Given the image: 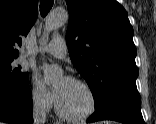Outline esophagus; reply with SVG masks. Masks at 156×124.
<instances>
[{"label":"esophagus","instance_id":"34e87169","mask_svg":"<svg viewBox=\"0 0 156 124\" xmlns=\"http://www.w3.org/2000/svg\"><path fill=\"white\" fill-rule=\"evenodd\" d=\"M54 124H60L58 121L54 122Z\"/></svg>","mask_w":156,"mask_h":124}]
</instances>
